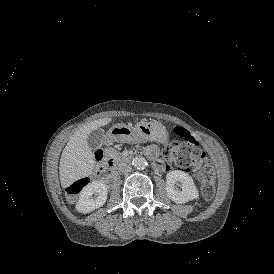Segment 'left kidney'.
<instances>
[{"instance_id":"1","label":"left kidney","mask_w":274,"mask_h":274,"mask_svg":"<svg viewBox=\"0 0 274 274\" xmlns=\"http://www.w3.org/2000/svg\"><path fill=\"white\" fill-rule=\"evenodd\" d=\"M181 186L180 190L176 185ZM166 192L176 203H185L198 196L192 177L186 172L175 170L167 174Z\"/></svg>"}]
</instances>
